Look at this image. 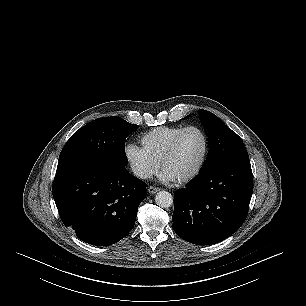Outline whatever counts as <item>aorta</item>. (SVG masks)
I'll return each mask as SVG.
<instances>
[{
    "instance_id": "1",
    "label": "aorta",
    "mask_w": 306,
    "mask_h": 306,
    "mask_svg": "<svg viewBox=\"0 0 306 306\" xmlns=\"http://www.w3.org/2000/svg\"><path fill=\"white\" fill-rule=\"evenodd\" d=\"M155 202L159 207L168 208L173 204V197L167 191H160L155 197Z\"/></svg>"
}]
</instances>
